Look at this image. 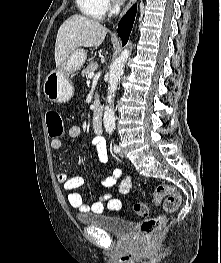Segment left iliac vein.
Segmentation results:
<instances>
[{"label": "left iliac vein", "mask_w": 221, "mask_h": 263, "mask_svg": "<svg viewBox=\"0 0 221 263\" xmlns=\"http://www.w3.org/2000/svg\"><path fill=\"white\" fill-rule=\"evenodd\" d=\"M119 148H120V147H119ZM120 155H121V156H124V153H123V151H122V150L120 151Z\"/></svg>", "instance_id": "1"}]
</instances>
